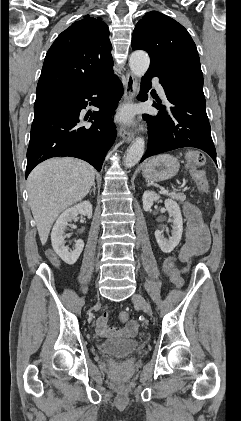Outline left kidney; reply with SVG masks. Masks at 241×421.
Listing matches in <instances>:
<instances>
[{
  "label": "left kidney",
  "instance_id": "5707ae66",
  "mask_svg": "<svg viewBox=\"0 0 241 421\" xmlns=\"http://www.w3.org/2000/svg\"><path fill=\"white\" fill-rule=\"evenodd\" d=\"M159 199L160 196L155 192L145 191L142 198L144 210L150 211L154 202L158 201ZM164 203L169 215L173 218V228L171 231L172 235L169 237V239H166L163 236V231L157 229L155 231V238L162 252L170 253L181 240L183 233V220L180 207L175 201L166 199Z\"/></svg>",
  "mask_w": 241,
  "mask_h": 421
}]
</instances>
